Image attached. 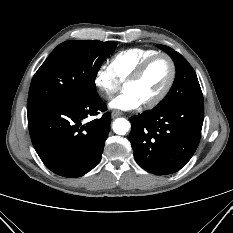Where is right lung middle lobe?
I'll return each mask as SVG.
<instances>
[{
    "label": "right lung middle lobe",
    "mask_w": 233,
    "mask_h": 233,
    "mask_svg": "<svg viewBox=\"0 0 233 233\" xmlns=\"http://www.w3.org/2000/svg\"><path fill=\"white\" fill-rule=\"evenodd\" d=\"M117 43L70 40L58 45L35 73L27 108L69 102L95 91V78Z\"/></svg>",
    "instance_id": "1"
}]
</instances>
